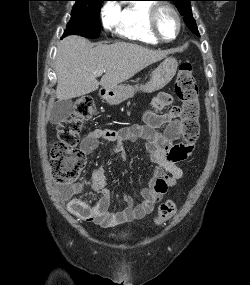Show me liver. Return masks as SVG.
<instances>
[{
  "mask_svg": "<svg viewBox=\"0 0 250 285\" xmlns=\"http://www.w3.org/2000/svg\"><path fill=\"white\" fill-rule=\"evenodd\" d=\"M164 51L117 42L93 45L79 36H69L57 48L55 71L56 96L59 101L80 97L96 91L117 87L147 66L162 60ZM105 70L100 82L97 72Z\"/></svg>",
  "mask_w": 250,
  "mask_h": 285,
  "instance_id": "6515ba94",
  "label": "liver"
}]
</instances>
